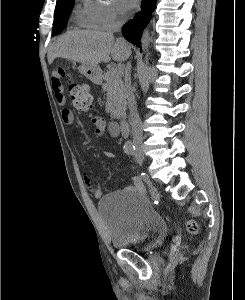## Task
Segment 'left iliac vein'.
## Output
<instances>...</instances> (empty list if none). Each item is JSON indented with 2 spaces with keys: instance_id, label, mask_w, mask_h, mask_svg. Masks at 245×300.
Returning a JSON list of instances; mask_svg holds the SVG:
<instances>
[{
  "instance_id": "4c4485c4",
  "label": "left iliac vein",
  "mask_w": 245,
  "mask_h": 300,
  "mask_svg": "<svg viewBox=\"0 0 245 300\" xmlns=\"http://www.w3.org/2000/svg\"><path fill=\"white\" fill-rule=\"evenodd\" d=\"M136 161H137V163H138L139 165H141L142 162H143V161L141 160L139 154L136 155Z\"/></svg>"
}]
</instances>
